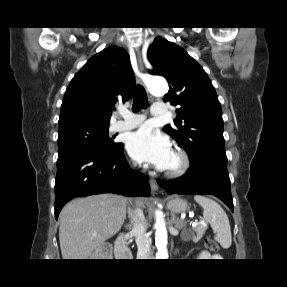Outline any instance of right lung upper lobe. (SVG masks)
<instances>
[{
	"label": "right lung upper lobe",
	"instance_id": "obj_1",
	"mask_svg": "<svg viewBox=\"0 0 287 287\" xmlns=\"http://www.w3.org/2000/svg\"><path fill=\"white\" fill-rule=\"evenodd\" d=\"M135 75L128 53L110 46L91 57L66 89L58 126L88 122L108 125L114 106L132 97Z\"/></svg>",
	"mask_w": 287,
	"mask_h": 287
}]
</instances>
